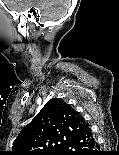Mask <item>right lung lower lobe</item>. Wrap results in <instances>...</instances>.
<instances>
[{
  "label": "right lung lower lobe",
  "instance_id": "1",
  "mask_svg": "<svg viewBox=\"0 0 119 155\" xmlns=\"http://www.w3.org/2000/svg\"><path fill=\"white\" fill-rule=\"evenodd\" d=\"M98 148L92 131L88 127L80 135L66 143L58 155H98Z\"/></svg>",
  "mask_w": 119,
  "mask_h": 155
}]
</instances>
